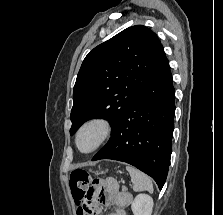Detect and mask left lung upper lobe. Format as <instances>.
I'll use <instances>...</instances> for the list:
<instances>
[{
    "mask_svg": "<svg viewBox=\"0 0 223 215\" xmlns=\"http://www.w3.org/2000/svg\"><path fill=\"white\" fill-rule=\"evenodd\" d=\"M165 57L157 35L143 25L129 27L85 57L73 91V135L92 118L109 121L112 133L128 106Z\"/></svg>",
    "mask_w": 223,
    "mask_h": 215,
    "instance_id": "1",
    "label": "left lung upper lobe"
}]
</instances>
